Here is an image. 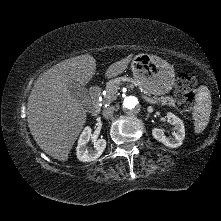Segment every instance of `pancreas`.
Returning <instances> with one entry per match:
<instances>
[{
	"instance_id": "1",
	"label": "pancreas",
	"mask_w": 221,
	"mask_h": 221,
	"mask_svg": "<svg viewBox=\"0 0 221 221\" xmlns=\"http://www.w3.org/2000/svg\"><path fill=\"white\" fill-rule=\"evenodd\" d=\"M124 83H128L130 85V87H134L137 86L139 88V90L144 93L145 95H149V93L144 90L141 86H139L137 84V82L130 78V77H118L115 78L113 80H110L109 82H107L106 84V95H105V102L106 103H111L112 101H114L116 99V93L119 89V86L124 84ZM149 100H151L152 102H157L163 105H168L171 107H175V100L172 97H160V98H149Z\"/></svg>"
}]
</instances>
